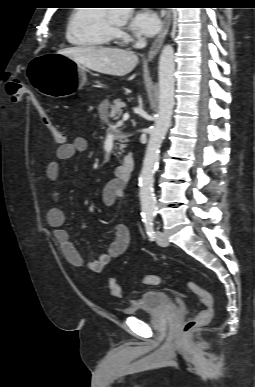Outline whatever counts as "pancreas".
<instances>
[{
    "label": "pancreas",
    "mask_w": 255,
    "mask_h": 387,
    "mask_svg": "<svg viewBox=\"0 0 255 387\" xmlns=\"http://www.w3.org/2000/svg\"><path fill=\"white\" fill-rule=\"evenodd\" d=\"M125 107H126V104L124 102H122L120 99H115L113 101V104H110L109 100L105 99L100 104L99 110H100V113H101L103 120L106 121L108 117L112 118L113 120H117L120 117V115L122 114L123 108H125ZM108 108H110L109 113L107 112ZM127 137H128V135H126V134H122V133L117 134V139L120 142L118 144L120 150H123L126 147V144H124V143L128 142Z\"/></svg>",
    "instance_id": "pancreas-1"
}]
</instances>
